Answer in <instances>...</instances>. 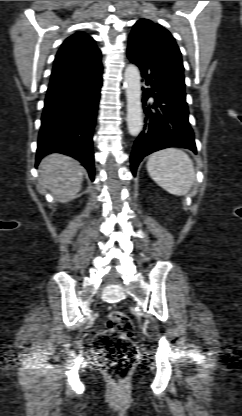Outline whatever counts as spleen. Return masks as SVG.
<instances>
[{
	"label": "spleen",
	"instance_id": "spleen-1",
	"mask_svg": "<svg viewBox=\"0 0 242 416\" xmlns=\"http://www.w3.org/2000/svg\"><path fill=\"white\" fill-rule=\"evenodd\" d=\"M146 167L150 177L174 195H186L195 181L192 160L177 148H166L151 154Z\"/></svg>",
	"mask_w": 242,
	"mask_h": 416
}]
</instances>
